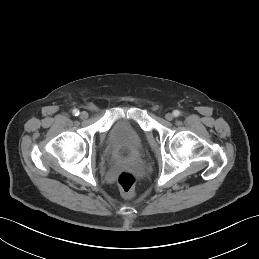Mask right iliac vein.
Returning <instances> with one entry per match:
<instances>
[{
    "instance_id": "obj_1",
    "label": "right iliac vein",
    "mask_w": 259,
    "mask_h": 259,
    "mask_svg": "<svg viewBox=\"0 0 259 259\" xmlns=\"http://www.w3.org/2000/svg\"><path fill=\"white\" fill-rule=\"evenodd\" d=\"M80 118L83 119V120L87 119L88 118V113L86 111H82L80 113Z\"/></svg>"
}]
</instances>
